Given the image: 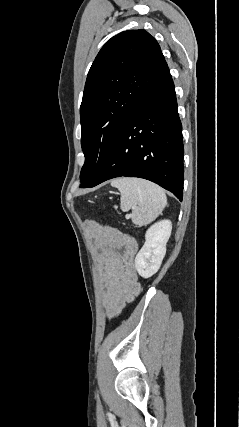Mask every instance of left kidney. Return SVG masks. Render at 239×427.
<instances>
[{"label":"left kidney","mask_w":239,"mask_h":427,"mask_svg":"<svg viewBox=\"0 0 239 427\" xmlns=\"http://www.w3.org/2000/svg\"><path fill=\"white\" fill-rule=\"evenodd\" d=\"M171 231L170 220H161L146 231L145 243L135 258V267L141 277L149 278L159 270Z\"/></svg>","instance_id":"5707ae66"}]
</instances>
